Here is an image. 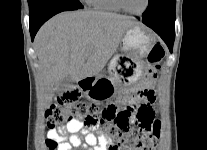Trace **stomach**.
Listing matches in <instances>:
<instances>
[{"label": "stomach", "mask_w": 207, "mask_h": 150, "mask_svg": "<svg viewBox=\"0 0 207 150\" xmlns=\"http://www.w3.org/2000/svg\"><path fill=\"white\" fill-rule=\"evenodd\" d=\"M153 45L154 35L146 28L140 24L129 28L122 38V53H116L110 61V76L94 79L86 90V95L94 100L114 98L121 86H130L142 81L147 73L143 58Z\"/></svg>", "instance_id": "0dacf381"}]
</instances>
